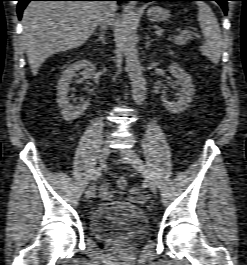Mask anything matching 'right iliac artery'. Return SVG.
I'll return each instance as SVG.
<instances>
[{
	"label": "right iliac artery",
	"mask_w": 247,
	"mask_h": 265,
	"mask_svg": "<svg viewBox=\"0 0 247 265\" xmlns=\"http://www.w3.org/2000/svg\"><path fill=\"white\" fill-rule=\"evenodd\" d=\"M101 176V168H98L95 172H94V175H93V181H97L99 179V177ZM90 190H91V193H92V197H95V186L92 184L90 186Z\"/></svg>",
	"instance_id": "1"
}]
</instances>
